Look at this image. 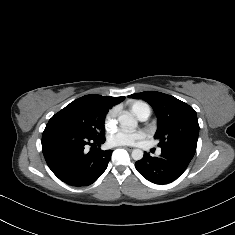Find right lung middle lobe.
I'll use <instances>...</instances> for the list:
<instances>
[{"label":"right lung middle lobe","instance_id":"obj_1","mask_svg":"<svg viewBox=\"0 0 235 235\" xmlns=\"http://www.w3.org/2000/svg\"><path fill=\"white\" fill-rule=\"evenodd\" d=\"M106 112L98 111L79 103H70L48 123L60 124L95 139L105 138L104 120Z\"/></svg>","mask_w":235,"mask_h":235}]
</instances>
